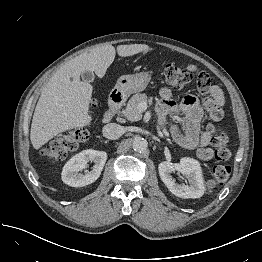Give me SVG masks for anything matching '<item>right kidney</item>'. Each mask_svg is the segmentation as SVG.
Wrapping results in <instances>:
<instances>
[{"label": "right kidney", "mask_w": 262, "mask_h": 262, "mask_svg": "<svg viewBox=\"0 0 262 262\" xmlns=\"http://www.w3.org/2000/svg\"><path fill=\"white\" fill-rule=\"evenodd\" d=\"M107 160V153L93 149L84 150L73 156L63 167L62 181L72 187H82L96 181ZM89 161H93L95 165L93 169L85 174L82 171Z\"/></svg>", "instance_id": "1"}]
</instances>
